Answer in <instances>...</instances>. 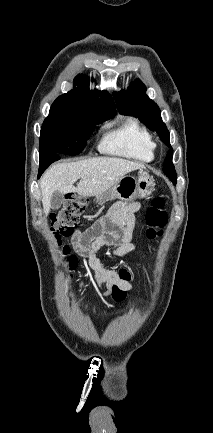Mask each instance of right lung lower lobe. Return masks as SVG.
<instances>
[{
	"instance_id": "right-lung-lower-lobe-1",
	"label": "right lung lower lobe",
	"mask_w": 213,
	"mask_h": 433,
	"mask_svg": "<svg viewBox=\"0 0 213 433\" xmlns=\"http://www.w3.org/2000/svg\"><path fill=\"white\" fill-rule=\"evenodd\" d=\"M60 158V154H51L46 157L40 158L39 172L38 178L42 175V173L47 169V167L53 163L54 161Z\"/></svg>"
}]
</instances>
